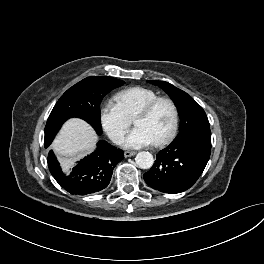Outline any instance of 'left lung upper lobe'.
Instances as JSON below:
<instances>
[{"mask_svg": "<svg viewBox=\"0 0 264 264\" xmlns=\"http://www.w3.org/2000/svg\"><path fill=\"white\" fill-rule=\"evenodd\" d=\"M148 82L162 88L178 108L181 123L176 140L188 137L200 130H210L203 108L190 95L164 81L148 80Z\"/></svg>", "mask_w": 264, "mask_h": 264, "instance_id": "left-lung-upper-lobe-1", "label": "left lung upper lobe"}]
</instances>
